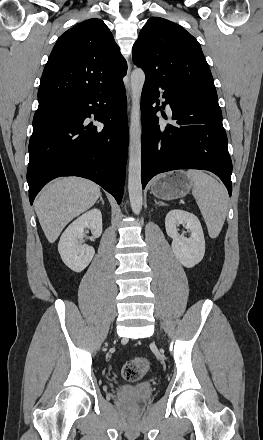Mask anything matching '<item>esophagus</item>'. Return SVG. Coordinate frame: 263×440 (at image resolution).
Returning <instances> with one entry per match:
<instances>
[{"instance_id": "esophagus-1", "label": "esophagus", "mask_w": 263, "mask_h": 440, "mask_svg": "<svg viewBox=\"0 0 263 440\" xmlns=\"http://www.w3.org/2000/svg\"><path fill=\"white\" fill-rule=\"evenodd\" d=\"M130 73H131V64L130 62L128 63V70H127V85H126V90H127V99H128V104H129V108H130V103L132 100V92H131V84H130Z\"/></svg>"}]
</instances>
